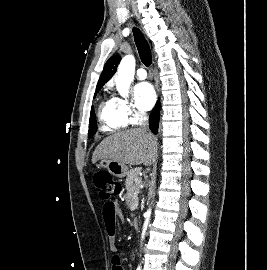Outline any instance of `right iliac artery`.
I'll list each match as a JSON object with an SVG mask.
<instances>
[{"label":"right iliac artery","mask_w":267,"mask_h":270,"mask_svg":"<svg viewBox=\"0 0 267 270\" xmlns=\"http://www.w3.org/2000/svg\"><path fill=\"white\" fill-rule=\"evenodd\" d=\"M137 270H141L140 267H138Z\"/></svg>","instance_id":"obj_1"}]
</instances>
